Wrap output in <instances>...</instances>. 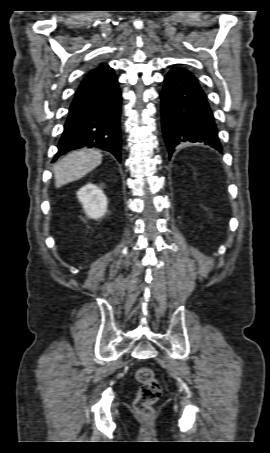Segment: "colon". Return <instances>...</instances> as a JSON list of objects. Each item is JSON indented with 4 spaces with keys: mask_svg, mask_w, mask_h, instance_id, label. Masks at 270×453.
I'll list each match as a JSON object with an SVG mask.
<instances>
[{
    "mask_svg": "<svg viewBox=\"0 0 270 453\" xmlns=\"http://www.w3.org/2000/svg\"><path fill=\"white\" fill-rule=\"evenodd\" d=\"M135 377L141 386L135 399L134 407L137 413L145 418L153 414V405L158 401L162 386L152 369L140 367L136 370Z\"/></svg>",
    "mask_w": 270,
    "mask_h": 453,
    "instance_id": "obj_1",
    "label": "colon"
}]
</instances>
